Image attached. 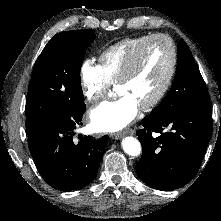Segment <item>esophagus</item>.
<instances>
[{
	"mask_svg": "<svg viewBox=\"0 0 221 221\" xmlns=\"http://www.w3.org/2000/svg\"><path fill=\"white\" fill-rule=\"evenodd\" d=\"M133 134H134V130L129 129V130H126L124 132L116 133L113 136H114L115 139H120L125 135H133Z\"/></svg>",
	"mask_w": 221,
	"mask_h": 221,
	"instance_id": "34e87169",
	"label": "esophagus"
}]
</instances>
